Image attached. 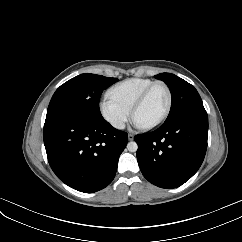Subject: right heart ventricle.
<instances>
[{"instance_id": "obj_1", "label": "right heart ventricle", "mask_w": 242, "mask_h": 242, "mask_svg": "<svg viewBox=\"0 0 242 242\" xmlns=\"http://www.w3.org/2000/svg\"><path fill=\"white\" fill-rule=\"evenodd\" d=\"M153 82L147 78H130L113 86L108 94L113 101L130 111L137 97Z\"/></svg>"}]
</instances>
